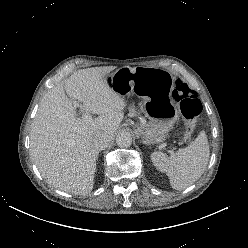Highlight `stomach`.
<instances>
[{
  "label": "stomach",
  "instance_id": "stomach-1",
  "mask_svg": "<svg viewBox=\"0 0 248 248\" xmlns=\"http://www.w3.org/2000/svg\"><path fill=\"white\" fill-rule=\"evenodd\" d=\"M108 86L124 97L137 93L144 100V113L136 132L145 144L162 143L178 118L172 100V75L154 67H122L105 78Z\"/></svg>",
  "mask_w": 248,
  "mask_h": 248
}]
</instances>
